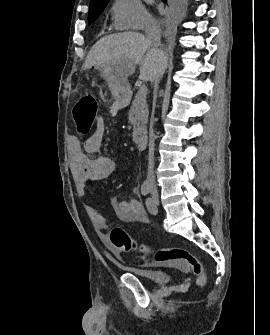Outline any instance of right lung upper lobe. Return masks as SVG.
Instances as JSON below:
<instances>
[{
	"label": "right lung upper lobe",
	"instance_id": "1",
	"mask_svg": "<svg viewBox=\"0 0 270 335\" xmlns=\"http://www.w3.org/2000/svg\"><path fill=\"white\" fill-rule=\"evenodd\" d=\"M109 0H90V6L91 5H97V4H103V3H108Z\"/></svg>",
	"mask_w": 270,
	"mask_h": 335
}]
</instances>
